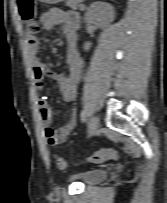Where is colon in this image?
Masks as SVG:
<instances>
[{
    "instance_id": "1",
    "label": "colon",
    "mask_w": 167,
    "mask_h": 203,
    "mask_svg": "<svg viewBox=\"0 0 167 203\" xmlns=\"http://www.w3.org/2000/svg\"><path fill=\"white\" fill-rule=\"evenodd\" d=\"M18 13L20 18L26 23V31L28 35H37L41 28L35 20V6L33 0H17ZM119 154L114 149H106L89 155L86 158L87 163H102L107 160L118 159ZM55 163L58 169L64 170L67 168V161L60 157H55Z\"/></svg>"
}]
</instances>
